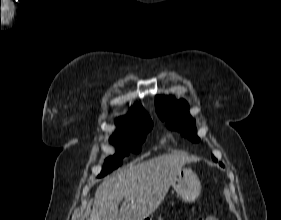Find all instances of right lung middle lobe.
Segmentation results:
<instances>
[{
	"mask_svg": "<svg viewBox=\"0 0 281 220\" xmlns=\"http://www.w3.org/2000/svg\"><path fill=\"white\" fill-rule=\"evenodd\" d=\"M152 127L153 122L150 117L119 126V130L110 138V142L117 145V153L105 160L104 168L98 177H103L118 168L129 152L139 153L141 144Z\"/></svg>",
	"mask_w": 281,
	"mask_h": 220,
	"instance_id": "1",
	"label": "right lung middle lobe"
}]
</instances>
